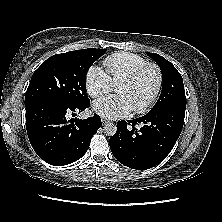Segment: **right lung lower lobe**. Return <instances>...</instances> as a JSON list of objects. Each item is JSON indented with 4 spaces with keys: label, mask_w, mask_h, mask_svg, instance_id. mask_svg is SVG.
I'll return each mask as SVG.
<instances>
[{
    "label": "right lung lower lobe",
    "mask_w": 222,
    "mask_h": 222,
    "mask_svg": "<svg viewBox=\"0 0 222 222\" xmlns=\"http://www.w3.org/2000/svg\"><path fill=\"white\" fill-rule=\"evenodd\" d=\"M89 105L88 99L76 104L41 100L26 106L28 138L40 158L51 165L63 166L84 156L92 136L101 127L100 116L68 120L67 114L82 112Z\"/></svg>",
    "instance_id": "1"
}]
</instances>
